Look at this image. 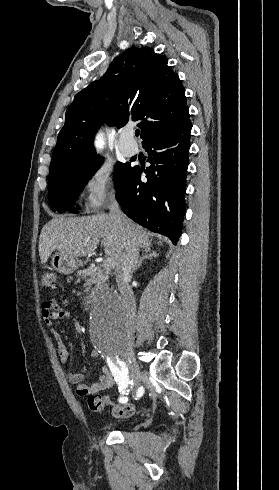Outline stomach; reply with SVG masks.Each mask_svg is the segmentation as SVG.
<instances>
[{
    "label": "stomach",
    "mask_w": 279,
    "mask_h": 490,
    "mask_svg": "<svg viewBox=\"0 0 279 490\" xmlns=\"http://www.w3.org/2000/svg\"><path fill=\"white\" fill-rule=\"evenodd\" d=\"M51 266L58 272V274H73L79 266H81V260L78 258H70V256H65V254H60L56 252L51 256Z\"/></svg>",
    "instance_id": "obj_1"
}]
</instances>
